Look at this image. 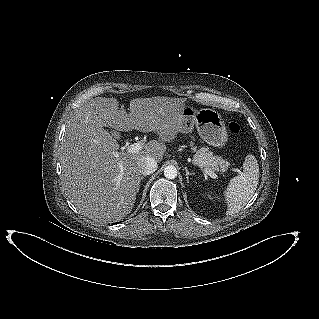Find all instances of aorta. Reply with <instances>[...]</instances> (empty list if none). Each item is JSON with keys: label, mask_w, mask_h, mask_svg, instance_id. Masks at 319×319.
<instances>
[{"label": "aorta", "mask_w": 319, "mask_h": 319, "mask_svg": "<svg viewBox=\"0 0 319 319\" xmlns=\"http://www.w3.org/2000/svg\"><path fill=\"white\" fill-rule=\"evenodd\" d=\"M164 176L167 178V179H174L177 177V169L176 167L170 165V166H167L165 167L164 169Z\"/></svg>", "instance_id": "aorta-1"}]
</instances>
